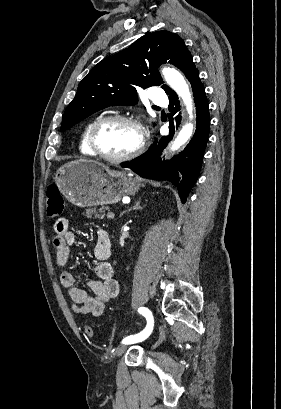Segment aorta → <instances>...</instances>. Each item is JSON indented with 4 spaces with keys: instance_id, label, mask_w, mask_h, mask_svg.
<instances>
[{
    "instance_id": "aorta-1",
    "label": "aorta",
    "mask_w": 281,
    "mask_h": 409,
    "mask_svg": "<svg viewBox=\"0 0 281 409\" xmlns=\"http://www.w3.org/2000/svg\"><path fill=\"white\" fill-rule=\"evenodd\" d=\"M164 78L168 85L175 90V92L183 99L186 109L189 113V118L192 119L193 115V100L189 87L184 79V77L175 69L164 68L162 70ZM193 132V124L191 122L185 124L178 136L174 140L171 146V150L175 151L179 149L183 144H185L191 137Z\"/></svg>"
}]
</instances>
